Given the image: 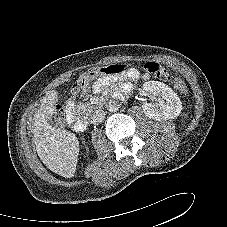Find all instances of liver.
I'll return each mask as SVG.
<instances>
[{
	"label": "liver",
	"instance_id": "6515ba94",
	"mask_svg": "<svg viewBox=\"0 0 227 227\" xmlns=\"http://www.w3.org/2000/svg\"><path fill=\"white\" fill-rule=\"evenodd\" d=\"M57 102L56 90L49 91L43 98L34 116V143L40 160L48 169L71 178L76 170L79 142L74 133L48 123L55 113Z\"/></svg>",
	"mask_w": 227,
	"mask_h": 227
}]
</instances>
